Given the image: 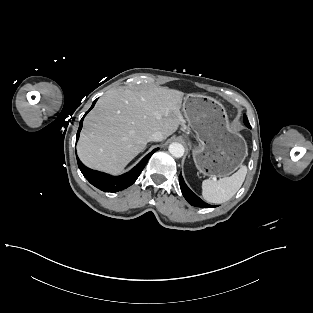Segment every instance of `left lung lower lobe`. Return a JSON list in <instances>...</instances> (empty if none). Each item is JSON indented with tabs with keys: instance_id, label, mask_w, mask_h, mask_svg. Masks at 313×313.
Returning a JSON list of instances; mask_svg holds the SVG:
<instances>
[{
	"instance_id": "left-lung-lower-lobe-1",
	"label": "left lung lower lobe",
	"mask_w": 313,
	"mask_h": 313,
	"mask_svg": "<svg viewBox=\"0 0 313 313\" xmlns=\"http://www.w3.org/2000/svg\"><path fill=\"white\" fill-rule=\"evenodd\" d=\"M179 184L181 188V192L185 199L195 207H201V208H212V205H209L205 203L201 198H199L195 193H193L190 188L186 185L182 174L179 175Z\"/></svg>"
}]
</instances>
